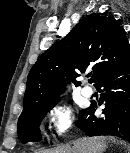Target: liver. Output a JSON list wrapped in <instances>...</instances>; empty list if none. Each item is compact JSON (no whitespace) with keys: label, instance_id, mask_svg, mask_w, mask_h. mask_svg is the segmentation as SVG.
Here are the masks:
<instances>
[{"label":"liver","instance_id":"1","mask_svg":"<svg viewBox=\"0 0 130 153\" xmlns=\"http://www.w3.org/2000/svg\"><path fill=\"white\" fill-rule=\"evenodd\" d=\"M106 147L105 137H83L73 141V146L67 144L41 153H103Z\"/></svg>","mask_w":130,"mask_h":153}]
</instances>
